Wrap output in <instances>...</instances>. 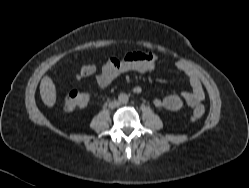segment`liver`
I'll return each mask as SVG.
<instances>
[{"label":"liver","instance_id":"6515ba94","mask_svg":"<svg viewBox=\"0 0 249 188\" xmlns=\"http://www.w3.org/2000/svg\"><path fill=\"white\" fill-rule=\"evenodd\" d=\"M56 86L49 76H44L40 83V95L43 103L53 107L56 103Z\"/></svg>","mask_w":249,"mask_h":188}]
</instances>
